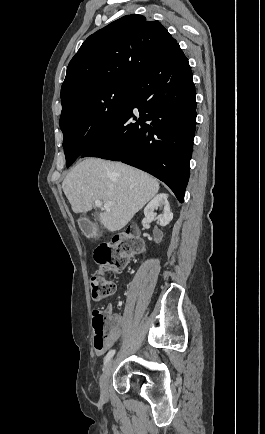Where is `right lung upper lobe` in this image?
<instances>
[{
    "mask_svg": "<svg viewBox=\"0 0 265 434\" xmlns=\"http://www.w3.org/2000/svg\"><path fill=\"white\" fill-rule=\"evenodd\" d=\"M176 44L159 21L126 15L85 40L68 65L61 95L110 76L136 78Z\"/></svg>",
    "mask_w": 265,
    "mask_h": 434,
    "instance_id": "1",
    "label": "right lung upper lobe"
}]
</instances>
